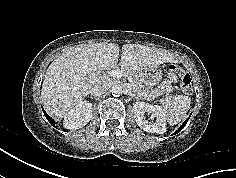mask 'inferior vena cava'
I'll return each instance as SVG.
<instances>
[{
	"label": "inferior vena cava",
	"mask_w": 236,
	"mask_h": 178,
	"mask_svg": "<svg viewBox=\"0 0 236 178\" xmlns=\"http://www.w3.org/2000/svg\"><path fill=\"white\" fill-rule=\"evenodd\" d=\"M109 87L110 84L107 82L96 84L91 88L90 93L91 95L98 96L104 93Z\"/></svg>",
	"instance_id": "inferior-vena-cava-1"
}]
</instances>
